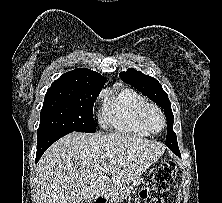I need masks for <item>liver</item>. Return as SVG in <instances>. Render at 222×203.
<instances>
[{
    "mask_svg": "<svg viewBox=\"0 0 222 203\" xmlns=\"http://www.w3.org/2000/svg\"><path fill=\"white\" fill-rule=\"evenodd\" d=\"M164 151L157 142L127 133L72 132L52 144L38 162L42 203L118 198L119 189L137 180Z\"/></svg>",
    "mask_w": 222,
    "mask_h": 203,
    "instance_id": "obj_1",
    "label": "liver"
}]
</instances>
